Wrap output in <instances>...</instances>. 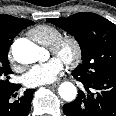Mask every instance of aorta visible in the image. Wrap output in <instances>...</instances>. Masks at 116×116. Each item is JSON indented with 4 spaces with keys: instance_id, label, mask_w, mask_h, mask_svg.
<instances>
[{
    "instance_id": "762f6f07",
    "label": "aorta",
    "mask_w": 116,
    "mask_h": 116,
    "mask_svg": "<svg viewBox=\"0 0 116 116\" xmlns=\"http://www.w3.org/2000/svg\"><path fill=\"white\" fill-rule=\"evenodd\" d=\"M12 55L21 64H31L37 61H44L47 58L45 49L26 38L17 39L12 44ZM58 91L60 97L68 102L73 101L77 96L76 87L71 82L61 83Z\"/></svg>"
}]
</instances>
